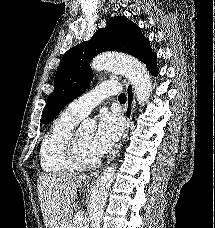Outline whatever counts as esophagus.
<instances>
[{
  "label": "esophagus",
  "instance_id": "1",
  "mask_svg": "<svg viewBox=\"0 0 215 228\" xmlns=\"http://www.w3.org/2000/svg\"><path fill=\"white\" fill-rule=\"evenodd\" d=\"M122 85L125 88L126 91V106H125V110H124V115L126 117L127 120V127L123 133V137L120 140L116 150L114 151V153L110 156V158L107 160L106 165L111 163L112 160H114V158L119 154V152L121 151L122 147H123V143L125 141V138L128 134V131L130 129V126L132 124V117H133V113H134V109H135V91H134V87L132 85V83L126 81L125 79H123L121 81ZM102 169L100 170H96L90 173V177L93 178H97L98 175L101 173Z\"/></svg>",
  "mask_w": 215,
  "mask_h": 228
}]
</instances>
